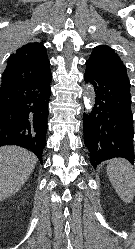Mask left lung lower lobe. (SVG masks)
Wrapping results in <instances>:
<instances>
[{
    "mask_svg": "<svg viewBox=\"0 0 135 249\" xmlns=\"http://www.w3.org/2000/svg\"><path fill=\"white\" fill-rule=\"evenodd\" d=\"M84 79L95 92L89 114L83 116L84 142L94 168L122 157L134 162L133 115L129 80L107 75L86 64Z\"/></svg>",
    "mask_w": 135,
    "mask_h": 249,
    "instance_id": "0a47b994",
    "label": "left lung lower lobe"
}]
</instances>
